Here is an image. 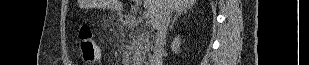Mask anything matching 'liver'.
Returning a JSON list of instances; mask_svg holds the SVG:
<instances>
[{
	"label": "liver",
	"instance_id": "6515ba94",
	"mask_svg": "<svg viewBox=\"0 0 309 65\" xmlns=\"http://www.w3.org/2000/svg\"><path fill=\"white\" fill-rule=\"evenodd\" d=\"M196 0H143L144 8L147 9L150 15V23L153 28L161 19V16L166 11H178L184 8L192 7ZM82 7L90 8H108L116 10L120 15L123 10V3L120 0H83Z\"/></svg>",
	"mask_w": 309,
	"mask_h": 65
}]
</instances>
